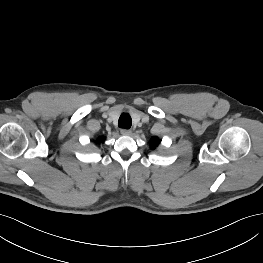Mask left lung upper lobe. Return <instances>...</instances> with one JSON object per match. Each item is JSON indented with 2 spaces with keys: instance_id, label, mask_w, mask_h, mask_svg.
Listing matches in <instances>:
<instances>
[{
  "instance_id": "obj_1",
  "label": "left lung upper lobe",
  "mask_w": 263,
  "mask_h": 263,
  "mask_svg": "<svg viewBox=\"0 0 263 263\" xmlns=\"http://www.w3.org/2000/svg\"><path fill=\"white\" fill-rule=\"evenodd\" d=\"M160 140L157 137H154L150 140V145L152 149H155L158 144H159Z\"/></svg>"
}]
</instances>
